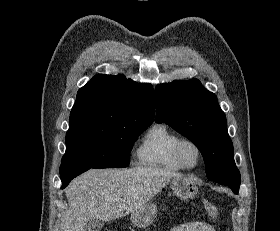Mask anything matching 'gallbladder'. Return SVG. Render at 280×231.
<instances>
[{
  "label": "gallbladder",
  "mask_w": 280,
  "mask_h": 231,
  "mask_svg": "<svg viewBox=\"0 0 280 231\" xmlns=\"http://www.w3.org/2000/svg\"><path fill=\"white\" fill-rule=\"evenodd\" d=\"M104 223L101 219H90L89 223L85 225L84 231H100Z\"/></svg>",
  "instance_id": "1"
}]
</instances>
